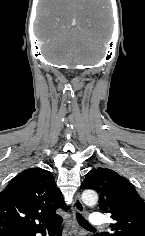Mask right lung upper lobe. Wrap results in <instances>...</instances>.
I'll use <instances>...</instances> for the list:
<instances>
[{
  "instance_id": "cb5924a9",
  "label": "right lung upper lobe",
  "mask_w": 145,
  "mask_h": 236,
  "mask_svg": "<svg viewBox=\"0 0 145 236\" xmlns=\"http://www.w3.org/2000/svg\"><path fill=\"white\" fill-rule=\"evenodd\" d=\"M67 210L63 195L51 173L31 168L16 176L0 192V236H20L44 229Z\"/></svg>"
}]
</instances>
